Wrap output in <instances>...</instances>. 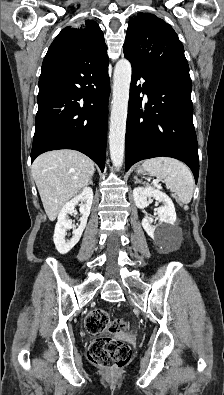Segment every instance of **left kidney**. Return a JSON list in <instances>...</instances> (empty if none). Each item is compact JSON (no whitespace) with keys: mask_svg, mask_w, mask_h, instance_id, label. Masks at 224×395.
<instances>
[{"mask_svg":"<svg viewBox=\"0 0 224 395\" xmlns=\"http://www.w3.org/2000/svg\"><path fill=\"white\" fill-rule=\"evenodd\" d=\"M134 202L139 209H144L149 205L150 199L154 198L163 203L157 209L159 223L153 226L154 220L145 216L142 219V227L152 239H158L166 235L176 221V212L171 198L166 194L151 186L135 187L133 190Z\"/></svg>","mask_w":224,"mask_h":395,"instance_id":"left-kidney-1","label":"left kidney"}]
</instances>
